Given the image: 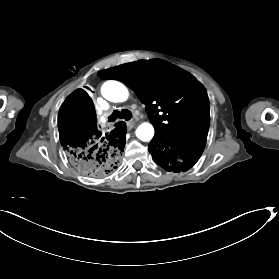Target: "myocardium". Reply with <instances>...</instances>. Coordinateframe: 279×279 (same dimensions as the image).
Masks as SVG:
<instances>
[{"label":"myocardium","instance_id":"obj_1","mask_svg":"<svg viewBox=\"0 0 279 279\" xmlns=\"http://www.w3.org/2000/svg\"><path fill=\"white\" fill-rule=\"evenodd\" d=\"M98 131H99V132H102V130H101L100 128H98Z\"/></svg>","mask_w":279,"mask_h":279}]
</instances>
